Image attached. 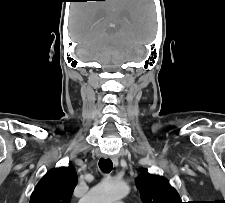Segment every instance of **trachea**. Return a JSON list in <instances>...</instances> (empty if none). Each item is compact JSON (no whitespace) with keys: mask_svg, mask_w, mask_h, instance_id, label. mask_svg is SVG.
Instances as JSON below:
<instances>
[{"mask_svg":"<svg viewBox=\"0 0 225 203\" xmlns=\"http://www.w3.org/2000/svg\"><path fill=\"white\" fill-rule=\"evenodd\" d=\"M99 167L103 172L109 173L113 168V163L109 158H107V159L101 158L99 160Z\"/></svg>","mask_w":225,"mask_h":203,"instance_id":"trachea-1","label":"trachea"}]
</instances>
